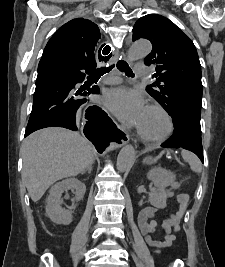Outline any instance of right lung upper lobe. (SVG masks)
I'll list each match as a JSON object with an SVG mask.
<instances>
[{
	"instance_id": "1",
	"label": "right lung upper lobe",
	"mask_w": 225,
	"mask_h": 267,
	"mask_svg": "<svg viewBox=\"0 0 225 267\" xmlns=\"http://www.w3.org/2000/svg\"><path fill=\"white\" fill-rule=\"evenodd\" d=\"M101 38L98 26L88 19L76 18L60 27L48 41L43 55L57 54L82 61L92 72L96 68L97 43ZM42 55V56H43Z\"/></svg>"
}]
</instances>
